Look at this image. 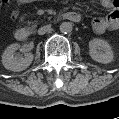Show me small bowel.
<instances>
[{
	"instance_id": "obj_1",
	"label": "small bowel",
	"mask_w": 119,
	"mask_h": 119,
	"mask_svg": "<svg viewBox=\"0 0 119 119\" xmlns=\"http://www.w3.org/2000/svg\"><path fill=\"white\" fill-rule=\"evenodd\" d=\"M102 7L110 10L106 16L96 17L92 21L95 32L103 33L106 30H115L119 27V0H102Z\"/></svg>"
}]
</instances>
